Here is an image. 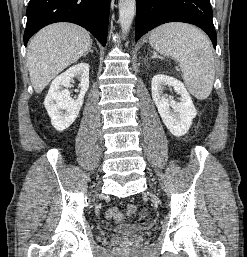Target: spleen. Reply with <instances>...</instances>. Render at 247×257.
<instances>
[{
  "mask_svg": "<svg viewBox=\"0 0 247 257\" xmlns=\"http://www.w3.org/2000/svg\"><path fill=\"white\" fill-rule=\"evenodd\" d=\"M151 46L180 64L189 91L205 99L212 91L215 65L212 44L198 28L185 23H168L154 29Z\"/></svg>",
  "mask_w": 247,
  "mask_h": 257,
  "instance_id": "obj_1",
  "label": "spleen"
}]
</instances>
